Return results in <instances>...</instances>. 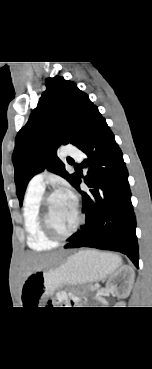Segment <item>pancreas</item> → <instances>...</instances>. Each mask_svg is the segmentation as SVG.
<instances>
[{
    "instance_id": "pancreas-1",
    "label": "pancreas",
    "mask_w": 152,
    "mask_h": 369,
    "mask_svg": "<svg viewBox=\"0 0 152 369\" xmlns=\"http://www.w3.org/2000/svg\"><path fill=\"white\" fill-rule=\"evenodd\" d=\"M93 285L92 284H88V285H86L85 287H84V292H93V291H95L94 289H93Z\"/></svg>"
}]
</instances>
